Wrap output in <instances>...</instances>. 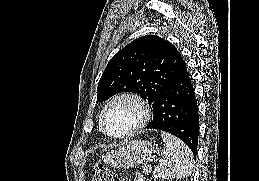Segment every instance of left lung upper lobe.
<instances>
[{
  "label": "left lung upper lobe",
  "mask_w": 259,
  "mask_h": 181,
  "mask_svg": "<svg viewBox=\"0 0 259 181\" xmlns=\"http://www.w3.org/2000/svg\"><path fill=\"white\" fill-rule=\"evenodd\" d=\"M183 59L174 45L156 35H146L115 54L97 88V102L120 92H134L147 100L155 114L165 89L181 70Z\"/></svg>",
  "instance_id": "5c2ea615"
}]
</instances>
